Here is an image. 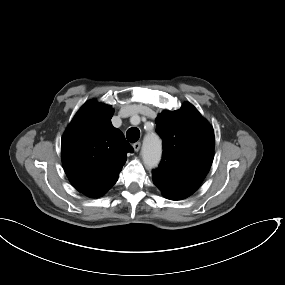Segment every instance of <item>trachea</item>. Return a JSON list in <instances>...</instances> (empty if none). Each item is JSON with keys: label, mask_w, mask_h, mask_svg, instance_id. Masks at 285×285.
Listing matches in <instances>:
<instances>
[{"label": "trachea", "mask_w": 285, "mask_h": 285, "mask_svg": "<svg viewBox=\"0 0 285 285\" xmlns=\"http://www.w3.org/2000/svg\"><path fill=\"white\" fill-rule=\"evenodd\" d=\"M127 140L131 143L136 142L140 137V131L138 128L132 127L128 129L126 133Z\"/></svg>", "instance_id": "obj_1"}]
</instances>
